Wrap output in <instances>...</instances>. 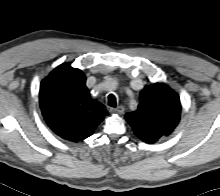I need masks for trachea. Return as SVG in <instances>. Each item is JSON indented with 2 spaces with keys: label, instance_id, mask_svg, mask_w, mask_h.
Listing matches in <instances>:
<instances>
[{
  "label": "trachea",
  "instance_id": "trachea-1",
  "mask_svg": "<svg viewBox=\"0 0 220 196\" xmlns=\"http://www.w3.org/2000/svg\"><path fill=\"white\" fill-rule=\"evenodd\" d=\"M108 105L111 107H116L117 105L116 97L113 94H110L108 96Z\"/></svg>",
  "mask_w": 220,
  "mask_h": 196
}]
</instances>
